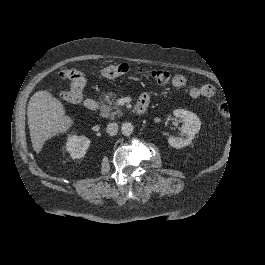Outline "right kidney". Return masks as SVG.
<instances>
[{
	"mask_svg": "<svg viewBox=\"0 0 265 265\" xmlns=\"http://www.w3.org/2000/svg\"><path fill=\"white\" fill-rule=\"evenodd\" d=\"M90 145V140L85 136L70 135L66 142V150L72 159L84 157Z\"/></svg>",
	"mask_w": 265,
	"mask_h": 265,
	"instance_id": "1",
	"label": "right kidney"
}]
</instances>
